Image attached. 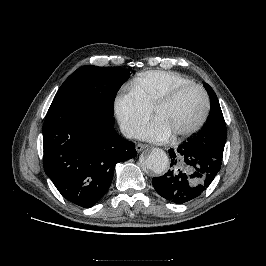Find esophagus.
Here are the masks:
<instances>
[{
	"label": "esophagus",
	"mask_w": 266,
	"mask_h": 266,
	"mask_svg": "<svg viewBox=\"0 0 266 266\" xmlns=\"http://www.w3.org/2000/svg\"><path fill=\"white\" fill-rule=\"evenodd\" d=\"M148 147L149 146L147 144L138 143L136 145V151L141 152L142 150H144L145 148H148Z\"/></svg>",
	"instance_id": "34e87169"
}]
</instances>
